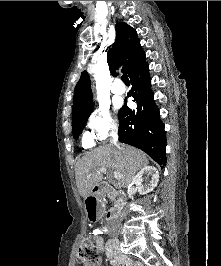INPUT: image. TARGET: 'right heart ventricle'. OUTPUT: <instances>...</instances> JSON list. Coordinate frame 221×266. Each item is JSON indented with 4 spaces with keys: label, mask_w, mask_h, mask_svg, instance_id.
Here are the masks:
<instances>
[{
    "label": "right heart ventricle",
    "mask_w": 221,
    "mask_h": 266,
    "mask_svg": "<svg viewBox=\"0 0 221 266\" xmlns=\"http://www.w3.org/2000/svg\"><path fill=\"white\" fill-rule=\"evenodd\" d=\"M83 144L86 147H90L93 145V140L92 138L89 136V134H85L83 137Z\"/></svg>",
    "instance_id": "obj_1"
}]
</instances>
